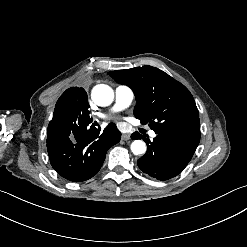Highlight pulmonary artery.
<instances>
[{
    "mask_svg": "<svg viewBox=\"0 0 247 247\" xmlns=\"http://www.w3.org/2000/svg\"><path fill=\"white\" fill-rule=\"evenodd\" d=\"M135 97L134 90L129 85H118L115 89V105L113 110H119L129 106ZM154 131L150 132L151 137H156Z\"/></svg>",
    "mask_w": 247,
    "mask_h": 247,
    "instance_id": "obj_1",
    "label": "pulmonary artery"
}]
</instances>
